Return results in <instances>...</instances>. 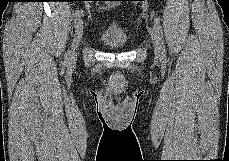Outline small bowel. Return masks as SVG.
<instances>
[{
  "label": "small bowel",
  "instance_id": "obj_1",
  "mask_svg": "<svg viewBox=\"0 0 229 161\" xmlns=\"http://www.w3.org/2000/svg\"><path fill=\"white\" fill-rule=\"evenodd\" d=\"M105 5L108 8L114 7L115 6V1H105Z\"/></svg>",
  "mask_w": 229,
  "mask_h": 161
}]
</instances>
